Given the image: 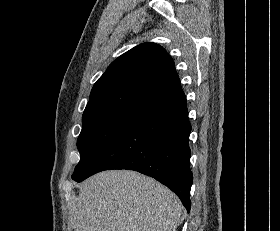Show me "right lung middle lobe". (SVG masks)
<instances>
[{
    "mask_svg": "<svg viewBox=\"0 0 280 231\" xmlns=\"http://www.w3.org/2000/svg\"><path fill=\"white\" fill-rule=\"evenodd\" d=\"M136 123L126 118L82 119V131L77 140L80 161L72 177L80 174L106 145Z\"/></svg>",
    "mask_w": 280,
    "mask_h": 231,
    "instance_id": "1",
    "label": "right lung middle lobe"
}]
</instances>
